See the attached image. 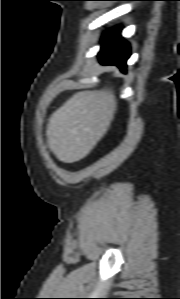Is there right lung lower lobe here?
<instances>
[{
    "label": "right lung lower lobe",
    "instance_id": "right-lung-lower-lobe-1",
    "mask_svg": "<svg viewBox=\"0 0 180 299\" xmlns=\"http://www.w3.org/2000/svg\"><path fill=\"white\" fill-rule=\"evenodd\" d=\"M121 28L106 32L102 38L99 59L102 64L115 65L126 72V61L130 56L129 44L120 35Z\"/></svg>",
    "mask_w": 180,
    "mask_h": 299
}]
</instances>
